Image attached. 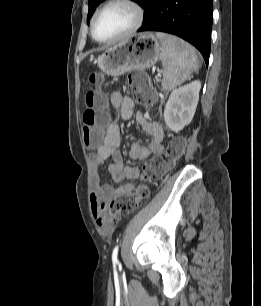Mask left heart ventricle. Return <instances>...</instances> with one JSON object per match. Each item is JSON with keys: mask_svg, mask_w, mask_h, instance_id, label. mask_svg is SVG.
Here are the masks:
<instances>
[{"mask_svg": "<svg viewBox=\"0 0 261 306\" xmlns=\"http://www.w3.org/2000/svg\"><path fill=\"white\" fill-rule=\"evenodd\" d=\"M135 20L134 11L123 4H115L105 9L98 17L95 35L99 39H109L126 32Z\"/></svg>", "mask_w": 261, "mask_h": 306, "instance_id": "left-heart-ventricle-1", "label": "left heart ventricle"}]
</instances>
